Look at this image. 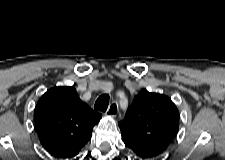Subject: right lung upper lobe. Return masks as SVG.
I'll return each mask as SVG.
<instances>
[{
	"label": "right lung upper lobe",
	"mask_w": 225,
	"mask_h": 160,
	"mask_svg": "<svg viewBox=\"0 0 225 160\" xmlns=\"http://www.w3.org/2000/svg\"><path fill=\"white\" fill-rule=\"evenodd\" d=\"M101 115L82 102L73 87H55L39 99L34 114L42 146L54 157L71 159L88 143Z\"/></svg>",
	"instance_id": "1"
}]
</instances>
